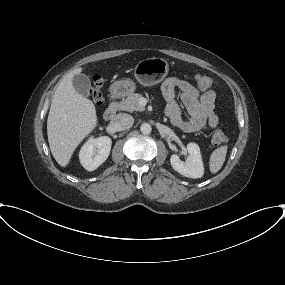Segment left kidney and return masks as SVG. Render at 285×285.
Here are the masks:
<instances>
[{"label":"left kidney","instance_id":"obj_1","mask_svg":"<svg viewBox=\"0 0 285 285\" xmlns=\"http://www.w3.org/2000/svg\"><path fill=\"white\" fill-rule=\"evenodd\" d=\"M187 151L189 156L185 162L181 161L178 155H171L170 163L172 168L185 177L201 178L204 174V166L199 146L196 143H189Z\"/></svg>","mask_w":285,"mask_h":285}]
</instances>
